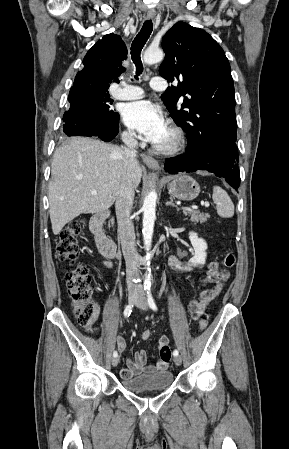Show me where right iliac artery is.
<instances>
[{
  "mask_svg": "<svg viewBox=\"0 0 289 449\" xmlns=\"http://www.w3.org/2000/svg\"><path fill=\"white\" fill-rule=\"evenodd\" d=\"M132 309H133V305H132V304H129V305L126 306V308H125V310H124V317H125V318H127V317L130 316V314H131V312H132ZM113 356H114V357H117V356H118L117 351H114V352H113Z\"/></svg>",
  "mask_w": 289,
  "mask_h": 449,
  "instance_id": "obj_1",
  "label": "right iliac artery"
}]
</instances>
